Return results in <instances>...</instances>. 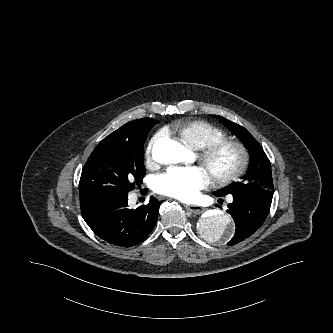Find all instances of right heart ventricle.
<instances>
[{"label": "right heart ventricle", "instance_id": "e07e8e85", "mask_svg": "<svg viewBox=\"0 0 333 333\" xmlns=\"http://www.w3.org/2000/svg\"><path fill=\"white\" fill-rule=\"evenodd\" d=\"M170 128L179 141L194 149L227 138V134L221 128L205 121L182 119L175 121Z\"/></svg>", "mask_w": 333, "mask_h": 333}]
</instances>
